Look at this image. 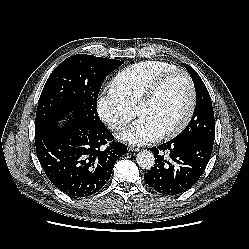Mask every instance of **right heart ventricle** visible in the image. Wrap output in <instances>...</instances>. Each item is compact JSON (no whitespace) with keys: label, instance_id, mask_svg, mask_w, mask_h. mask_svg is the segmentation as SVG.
<instances>
[{"label":"right heart ventricle","instance_id":"1","mask_svg":"<svg viewBox=\"0 0 249 249\" xmlns=\"http://www.w3.org/2000/svg\"><path fill=\"white\" fill-rule=\"evenodd\" d=\"M175 69L174 64L165 61H141L120 70L113 77L111 86L124 101L136 107L141 96L159 76Z\"/></svg>","mask_w":249,"mask_h":249}]
</instances>
